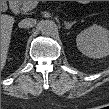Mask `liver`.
<instances>
[{"label":"liver","mask_w":109,"mask_h":109,"mask_svg":"<svg viewBox=\"0 0 109 109\" xmlns=\"http://www.w3.org/2000/svg\"><path fill=\"white\" fill-rule=\"evenodd\" d=\"M15 19L9 15L1 16V66L4 68Z\"/></svg>","instance_id":"6515ba94"}]
</instances>
